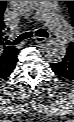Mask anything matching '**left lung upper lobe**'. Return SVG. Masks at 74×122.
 Here are the masks:
<instances>
[{"label":"left lung upper lobe","instance_id":"obj_1","mask_svg":"<svg viewBox=\"0 0 74 122\" xmlns=\"http://www.w3.org/2000/svg\"><path fill=\"white\" fill-rule=\"evenodd\" d=\"M67 2L70 9V13L72 15V25L74 26V1H67ZM70 47L74 48V42L70 44Z\"/></svg>","mask_w":74,"mask_h":122}]
</instances>
